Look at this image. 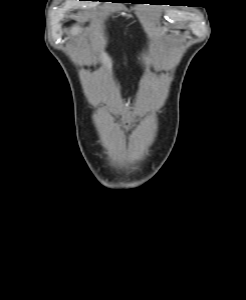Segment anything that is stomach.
I'll return each mask as SVG.
<instances>
[{"mask_svg": "<svg viewBox=\"0 0 246 300\" xmlns=\"http://www.w3.org/2000/svg\"><path fill=\"white\" fill-rule=\"evenodd\" d=\"M172 34H173V35H176L177 33H176V32H173Z\"/></svg>", "mask_w": 246, "mask_h": 300, "instance_id": "1", "label": "stomach"}]
</instances>
